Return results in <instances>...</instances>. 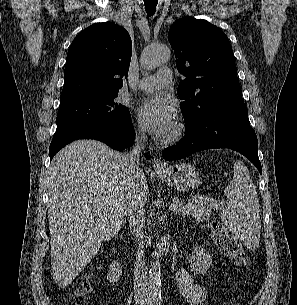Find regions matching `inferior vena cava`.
Returning a JSON list of instances; mask_svg holds the SVG:
<instances>
[{"label":"inferior vena cava","instance_id":"inferior-vena-cava-1","mask_svg":"<svg viewBox=\"0 0 297 305\" xmlns=\"http://www.w3.org/2000/svg\"><path fill=\"white\" fill-rule=\"evenodd\" d=\"M144 134L135 139L134 146L129 154L124 158V165L128 172L130 180V189L128 192V202L126 213L129 220V226L136 238L143 239L142 227L145 223L144 201L136 189V180L141 176L142 170L139 167V159L143 150ZM134 298L136 303H147L149 301V291L147 284V272L144 259L143 244L138 246L136 252V262L134 268Z\"/></svg>","mask_w":297,"mask_h":305}]
</instances>
